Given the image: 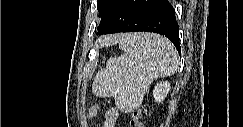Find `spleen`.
Wrapping results in <instances>:
<instances>
[{"label":"spleen","mask_w":243,"mask_h":127,"mask_svg":"<svg viewBox=\"0 0 243 127\" xmlns=\"http://www.w3.org/2000/svg\"><path fill=\"white\" fill-rule=\"evenodd\" d=\"M124 54L110 58L94 78L92 91L99 97L112 96L122 111L137 107L153 80L169 76L178 67L177 52L165 37L137 33L120 43Z\"/></svg>","instance_id":"1"}]
</instances>
